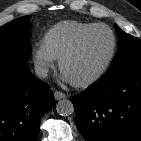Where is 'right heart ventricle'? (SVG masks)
I'll list each match as a JSON object with an SVG mask.
<instances>
[{
    "label": "right heart ventricle",
    "mask_w": 141,
    "mask_h": 141,
    "mask_svg": "<svg viewBox=\"0 0 141 141\" xmlns=\"http://www.w3.org/2000/svg\"><path fill=\"white\" fill-rule=\"evenodd\" d=\"M96 23L76 20L61 21L50 27L43 35L41 45L54 58L59 59L74 40L88 27Z\"/></svg>",
    "instance_id": "obj_1"
}]
</instances>
